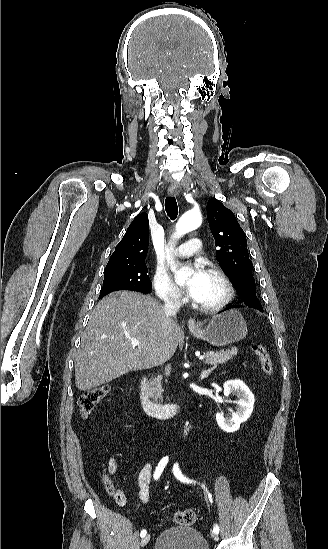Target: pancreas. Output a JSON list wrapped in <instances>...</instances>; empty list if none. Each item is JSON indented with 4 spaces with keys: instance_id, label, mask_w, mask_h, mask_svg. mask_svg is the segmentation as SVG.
<instances>
[{
    "instance_id": "1",
    "label": "pancreas",
    "mask_w": 328,
    "mask_h": 549,
    "mask_svg": "<svg viewBox=\"0 0 328 549\" xmlns=\"http://www.w3.org/2000/svg\"><path fill=\"white\" fill-rule=\"evenodd\" d=\"M237 351L236 349H226V351H219V353H214V351H209L206 355V361L207 365H213V369H216L217 365H223V363H226V361H230L234 355H236ZM148 393L150 395H155V399H162L163 391L162 389V375H159V377H156V379H153L149 385H147Z\"/></svg>"
}]
</instances>
